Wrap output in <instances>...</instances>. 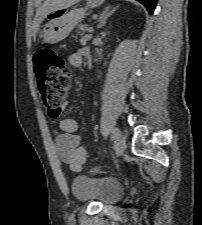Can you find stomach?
Listing matches in <instances>:
<instances>
[{
	"instance_id": "0dacf381",
	"label": "stomach",
	"mask_w": 202,
	"mask_h": 225,
	"mask_svg": "<svg viewBox=\"0 0 202 225\" xmlns=\"http://www.w3.org/2000/svg\"><path fill=\"white\" fill-rule=\"evenodd\" d=\"M104 0H87L86 8H75L71 11L59 9L47 16L48 23L44 25L41 36L44 42L55 44L66 37L73 31L76 25L82 21L87 8L98 7Z\"/></svg>"
}]
</instances>
